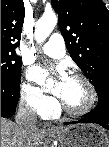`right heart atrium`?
Segmentation results:
<instances>
[{
    "label": "right heart atrium",
    "instance_id": "1",
    "mask_svg": "<svg viewBox=\"0 0 109 147\" xmlns=\"http://www.w3.org/2000/svg\"><path fill=\"white\" fill-rule=\"evenodd\" d=\"M21 100L27 107L39 114L52 109L54 105L51 97L44 95L39 88L28 82H24L21 86Z\"/></svg>",
    "mask_w": 109,
    "mask_h": 147
}]
</instances>
